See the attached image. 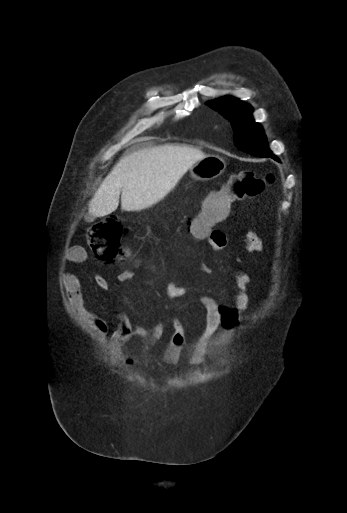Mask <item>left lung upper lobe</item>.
<instances>
[{"label":"left lung upper lobe","instance_id":"1","mask_svg":"<svg viewBox=\"0 0 347 513\" xmlns=\"http://www.w3.org/2000/svg\"><path fill=\"white\" fill-rule=\"evenodd\" d=\"M231 121L236 133L235 145L257 156L272 155L262 127L252 118L250 105L232 97L207 103Z\"/></svg>","mask_w":347,"mask_h":513}]
</instances>
